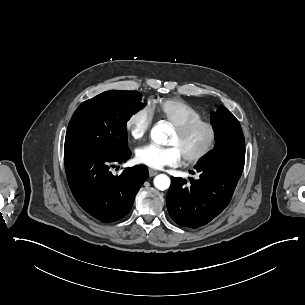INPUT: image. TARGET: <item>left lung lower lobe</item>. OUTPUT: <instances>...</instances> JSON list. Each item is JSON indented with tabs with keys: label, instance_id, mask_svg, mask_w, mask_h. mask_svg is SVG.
I'll return each mask as SVG.
<instances>
[{
	"label": "left lung lower lobe",
	"instance_id": "obj_1",
	"mask_svg": "<svg viewBox=\"0 0 305 305\" xmlns=\"http://www.w3.org/2000/svg\"><path fill=\"white\" fill-rule=\"evenodd\" d=\"M243 167L244 161L200 163L195 167L200 178H190L188 186L186 180L172 177L166 200L170 217L178 225L193 229L209 223L228 206Z\"/></svg>",
	"mask_w": 305,
	"mask_h": 305
}]
</instances>
